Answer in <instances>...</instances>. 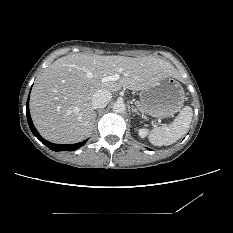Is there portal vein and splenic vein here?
Here are the masks:
<instances>
[{
	"mask_svg": "<svg viewBox=\"0 0 233 233\" xmlns=\"http://www.w3.org/2000/svg\"><path fill=\"white\" fill-rule=\"evenodd\" d=\"M118 79H120V76L118 74H115V75H110V76L103 77L101 79V82L105 83V82H109V81H116Z\"/></svg>",
	"mask_w": 233,
	"mask_h": 233,
	"instance_id": "18ae733b",
	"label": "portal vein and splenic vein"
}]
</instances>
